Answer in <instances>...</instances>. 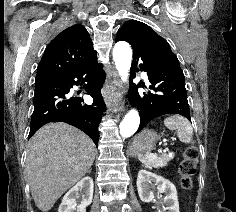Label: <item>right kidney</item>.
<instances>
[{
	"instance_id": "1",
	"label": "right kidney",
	"mask_w": 236,
	"mask_h": 212,
	"mask_svg": "<svg viewBox=\"0 0 236 212\" xmlns=\"http://www.w3.org/2000/svg\"><path fill=\"white\" fill-rule=\"evenodd\" d=\"M93 188V179L89 176L84 177L65 194L58 212H86V207L92 202ZM80 196L82 200L77 204Z\"/></svg>"
}]
</instances>
